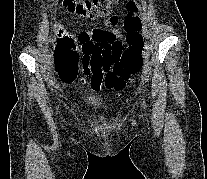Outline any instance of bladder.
<instances>
[{"label":"bladder","instance_id":"31cf9c89","mask_svg":"<svg viewBox=\"0 0 207 179\" xmlns=\"http://www.w3.org/2000/svg\"><path fill=\"white\" fill-rule=\"evenodd\" d=\"M83 99H84V102L87 106L99 105V98L95 95H87Z\"/></svg>","mask_w":207,"mask_h":179}]
</instances>
